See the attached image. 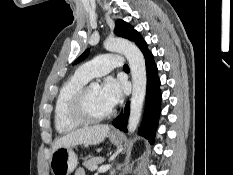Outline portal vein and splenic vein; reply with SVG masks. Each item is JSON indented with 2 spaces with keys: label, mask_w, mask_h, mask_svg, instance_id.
<instances>
[{
  "label": "portal vein and splenic vein",
  "mask_w": 233,
  "mask_h": 175,
  "mask_svg": "<svg viewBox=\"0 0 233 175\" xmlns=\"http://www.w3.org/2000/svg\"><path fill=\"white\" fill-rule=\"evenodd\" d=\"M109 168H110V165H109V164H108V165H102V166H100V167L98 168V172H99V173H104V172H106Z\"/></svg>",
  "instance_id": "1"
}]
</instances>
